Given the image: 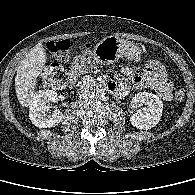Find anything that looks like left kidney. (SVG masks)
Wrapping results in <instances>:
<instances>
[{
	"label": "left kidney",
	"mask_w": 195,
	"mask_h": 195,
	"mask_svg": "<svg viewBox=\"0 0 195 195\" xmlns=\"http://www.w3.org/2000/svg\"><path fill=\"white\" fill-rule=\"evenodd\" d=\"M131 105L144 107L130 117V123L140 129H151L158 124L163 112L161 99L152 93L140 92L131 99Z\"/></svg>",
	"instance_id": "5707ae66"
}]
</instances>
